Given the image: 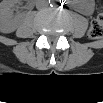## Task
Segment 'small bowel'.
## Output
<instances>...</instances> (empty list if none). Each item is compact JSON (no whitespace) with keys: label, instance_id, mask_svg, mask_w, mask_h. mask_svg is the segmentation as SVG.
I'll return each instance as SVG.
<instances>
[{"label":"small bowel","instance_id":"1","mask_svg":"<svg viewBox=\"0 0 103 103\" xmlns=\"http://www.w3.org/2000/svg\"><path fill=\"white\" fill-rule=\"evenodd\" d=\"M78 10L82 14L91 15L94 10V4L90 1L80 3V4H78Z\"/></svg>","mask_w":103,"mask_h":103}]
</instances>
